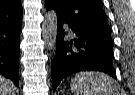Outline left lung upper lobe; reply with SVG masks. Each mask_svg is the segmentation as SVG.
Returning <instances> with one entry per match:
<instances>
[{"label":"left lung upper lobe","instance_id":"obj_1","mask_svg":"<svg viewBox=\"0 0 135 95\" xmlns=\"http://www.w3.org/2000/svg\"><path fill=\"white\" fill-rule=\"evenodd\" d=\"M46 8L74 25L110 32L101 0H45Z\"/></svg>","mask_w":135,"mask_h":95}]
</instances>
